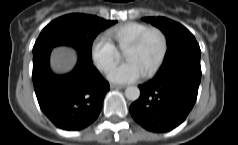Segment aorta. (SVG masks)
<instances>
[{"label": "aorta", "instance_id": "762f6f07", "mask_svg": "<svg viewBox=\"0 0 238 145\" xmlns=\"http://www.w3.org/2000/svg\"><path fill=\"white\" fill-rule=\"evenodd\" d=\"M125 96L128 100L136 101L140 96V90L137 86H128L125 89Z\"/></svg>", "mask_w": 238, "mask_h": 145}]
</instances>
